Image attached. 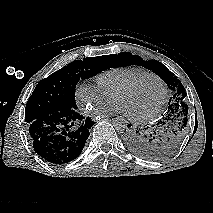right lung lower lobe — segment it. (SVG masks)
Instances as JSON below:
<instances>
[{"label": "right lung lower lobe", "mask_w": 213, "mask_h": 213, "mask_svg": "<svg viewBox=\"0 0 213 213\" xmlns=\"http://www.w3.org/2000/svg\"><path fill=\"white\" fill-rule=\"evenodd\" d=\"M94 122L76 109H63L28 125L35 152L47 162L61 165L82 152Z\"/></svg>", "instance_id": "obj_1"}]
</instances>
